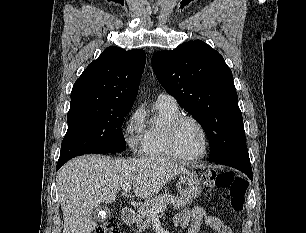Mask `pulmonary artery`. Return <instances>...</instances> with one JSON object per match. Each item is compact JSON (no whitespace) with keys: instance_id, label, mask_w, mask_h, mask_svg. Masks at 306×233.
Returning <instances> with one entry per match:
<instances>
[{"instance_id":"obj_1","label":"pulmonary artery","mask_w":306,"mask_h":233,"mask_svg":"<svg viewBox=\"0 0 306 233\" xmlns=\"http://www.w3.org/2000/svg\"><path fill=\"white\" fill-rule=\"evenodd\" d=\"M156 102L165 103V104H168V105H171V106H177V102H176L175 98L172 97L171 95L165 94V93L159 94L157 96Z\"/></svg>"}]
</instances>
